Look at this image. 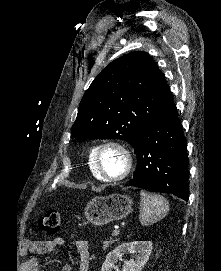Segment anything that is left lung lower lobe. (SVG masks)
<instances>
[{"instance_id": "left-lung-lower-lobe-1", "label": "left lung lower lobe", "mask_w": 221, "mask_h": 271, "mask_svg": "<svg viewBox=\"0 0 221 271\" xmlns=\"http://www.w3.org/2000/svg\"><path fill=\"white\" fill-rule=\"evenodd\" d=\"M137 168L129 186L166 192L188 201V156L186 139L175 104L150 122L134 144Z\"/></svg>"}]
</instances>
